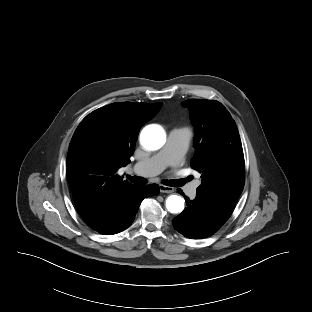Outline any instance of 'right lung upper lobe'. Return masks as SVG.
Masks as SVG:
<instances>
[{
	"label": "right lung upper lobe",
	"mask_w": 312,
	"mask_h": 312,
	"mask_svg": "<svg viewBox=\"0 0 312 312\" xmlns=\"http://www.w3.org/2000/svg\"><path fill=\"white\" fill-rule=\"evenodd\" d=\"M162 103L118 102L87 115L69 145L67 175L75 206L89 226L108 217L135 184L116 172L130 162L140 128Z\"/></svg>",
	"instance_id": "obj_1"
}]
</instances>
